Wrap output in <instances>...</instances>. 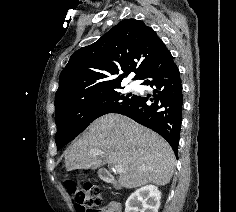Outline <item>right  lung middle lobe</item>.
Returning a JSON list of instances; mask_svg holds the SVG:
<instances>
[{
  "label": "right lung middle lobe",
  "mask_w": 236,
  "mask_h": 212,
  "mask_svg": "<svg viewBox=\"0 0 236 212\" xmlns=\"http://www.w3.org/2000/svg\"><path fill=\"white\" fill-rule=\"evenodd\" d=\"M119 88L84 97L56 111L57 150L72 141L98 117L114 113L135 99L136 95H123Z\"/></svg>",
  "instance_id": "right-lung-middle-lobe-1"
}]
</instances>
